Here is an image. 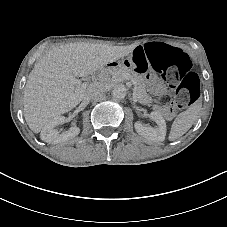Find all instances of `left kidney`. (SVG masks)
<instances>
[{
	"mask_svg": "<svg viewBox=\"0 0 227 227\" xmlns=\"http://www.w3.org/2000/svg\"><path fill=\"white\" fill-rule=\"evenodd\" d=\"M151 119L157 124V127L144 126L141 121H136L134 124L135 130L151 141H164L166 138L167 126L164 118L157 112L151 113Z\"/></svg>",
	"mask_w": 227,
	"mask_h": 227,
	"instance_id": "5707ae66",
	"label": "left kidney"
}]
</instances>
